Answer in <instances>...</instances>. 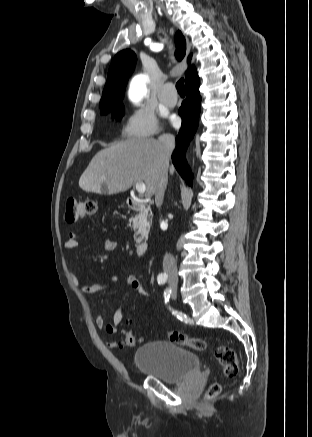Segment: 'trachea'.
I'll return each instance as SVG.
<instances>
[{"mask_svg": "<svg viewBox=\"0 0 312 437\" xmlns=\"http://www.w3.org/2000/svg\"><path fill=\"white\" fill-rule=\"evenodd\" d=\"M176 89L180 95H184V80L183 79H180L176 83Z\"/></svg>", "mask_w": 312, "mask_h": 437, "instance_id": "trachea-1", "label": "trachea"}]
</instances>
